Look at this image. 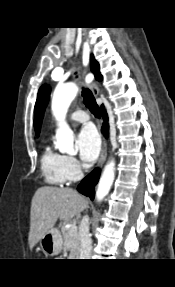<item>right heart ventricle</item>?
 Masks as SVG:
<instances>
[{
    "label": "right heart ventricle",
    "mask_w": 175,
    "mask_h": 287,
    "mask_svg": "<svg viewBox=\"0 0 175 287\" xmlns=\"http://www.w3.org/2000/svg\"><path fill=\"white\" fill-rule=\"evenodd\" d=\"M64 156L52 150L49 146L45 147L41 155V170L47 183L61 185L66 182L63 171Z\"/></svg>",
    "instance_id": "obj_1"
}]
</instances>
